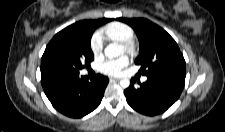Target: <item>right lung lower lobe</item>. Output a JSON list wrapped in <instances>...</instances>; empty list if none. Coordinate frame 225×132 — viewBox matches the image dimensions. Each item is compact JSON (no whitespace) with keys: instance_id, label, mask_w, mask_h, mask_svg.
I'll return each instance as SVG.
<instances>
[{"instance_id":"right-lung-lower-lobe-1","label":"right lung lower lobe","mask_w":225,"mask_h":132,"mask_svg":"<svg viewBox=\"0 0 225 132\" xmlns=\"http://www.w3.org/2000/svg\"><path fill=\"white\" fill-rule=\"evenodd\" d=\"M109 79L97 74L90 81L78 74L41 75L44 92L51 104L62 114L79 118L100 104Z\"/></svg>"}]
</instances>
